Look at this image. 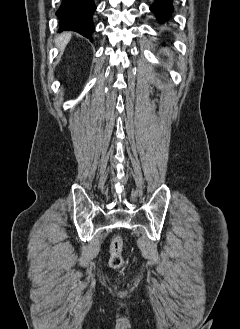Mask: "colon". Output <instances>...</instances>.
Masks as SVG:
<instances>
[{
  "mask_svg": "<svg viewBox=\"0 0 240 329\" xmlns=\"http://www.w3.org/2000/svg\"><path fill=\"white\" fill-rule=\"evenodd\" d=\"M109 264L113 269L117 270L124 267L123 238L120 235H117L112 239Z\"/></svg>",
  "mask_w": 240,
  "mask_h": 329,
  "instance_id": "obj_1",
  "label": "colon"
}]
</instances>
